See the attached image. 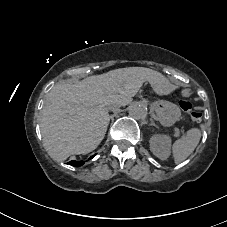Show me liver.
Here are the masks:
<instances>
[{"instance_id": "obj_1", "label": "liver", "mask_w": 227, "mask_h": 227, "mask_svg": "<svg viewBox=\"0 0 227 227\" xmlns=\"http://www.w3.org/2000/svg\"><path fill=\"white\" fill-rule=\"evenodd\" d=\"M156 71L143 67L120 68L76 83L55 85L47 94L40 129L48 154L58 161L87 154L103 140L109 124L112 95L134 96L143 81Z\"/></svg>"}]
</instances>
